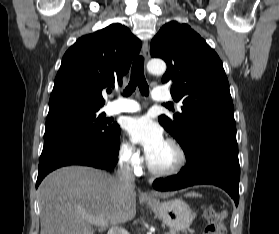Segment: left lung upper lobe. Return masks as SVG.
I'll use <instances>...</instances> for the list:
<instances>
[{"mask_svg": "<svg viewBox=\"0 0 279 234\" xmlns=\"http://www.w3.org/2000/svg\"><path fill=\"white\" fill-rule=\"evenodd\" d=\"M152 57L162 58L163 83L181 101V112L161 115L159 123L179 142L185 155L194 137L212 126L236 128L229 82L217 53L187 24L171 21L151 41Z\"/></svg>", "mask_w": 279, "mask_h": 234, "instance_id": "1", "label": "left lung upper lobe"}]
</instances>
